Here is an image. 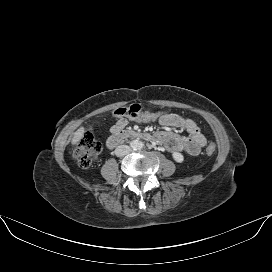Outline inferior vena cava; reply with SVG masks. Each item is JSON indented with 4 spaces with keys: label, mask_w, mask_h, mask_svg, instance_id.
Listing matches in <instances>:
<instances>
[{
    "label": "inferior vena cava",
    "mask_w": 272,
    "mask_h": 272,
    "mask_svg": "<svg viewBox=\"0 0 272 272\" xmlns=\"http://www.w3.org/2000/svg\"><path fill=\"white\" fill-rule=\"evenodd\" d=\"M131 152V149L127 145H119L116 147L114 153L118 157H123Z\"/></svg>",
    "instance_id": "602c4592"
}]
</instances>
